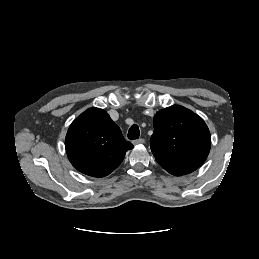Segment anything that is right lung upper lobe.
Wrapping results in <instances>:
<instances>
[{"mask_svg": "<svg viewBox=\"0 0 259 259\" xmlns=\"http://www.w3.org/2000/svg\"><path fill=\"white\" fill-rule=\"evenodd\" d=\"M71 164L81 173L104 177L115 170L133 148L103 109L90 108L70 125L65 139Z\"/></svg>", "mask_w": 259, "mask_h": 259, "instance_id": "right-lung-upper-lobe-1", "label": "right lung upper lobe"}]
</instances>
